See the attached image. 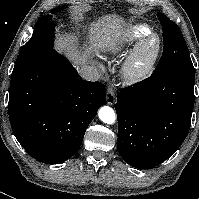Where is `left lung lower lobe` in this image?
Segmentation results:
<instances>
[{
    "mask_svg": "<svg viewBox=\"0 0 199 199\" xmlns=\"http://www.w3.org/2000/svg\"><path fill=\"white\" fill-rule=\"evenodd\" d=\"M195 75H151L117 94L118 150L129 165L151 168L183 143L194 107Z\"/></svg>",
    "mask_w": 199,
    "mask_h": 199,
    "instance_id": "left-lung-lower-lobe-1",
    "label": "left lung lower lobe"
}]
</instances>
